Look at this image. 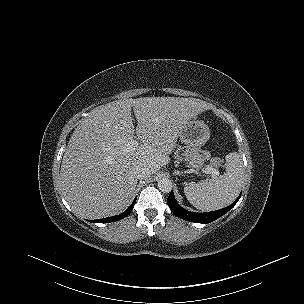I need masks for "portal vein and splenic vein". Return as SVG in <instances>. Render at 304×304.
I'll return each mask as SVG.
<instances>
[{
	"mask_svg": "<svg viewBox=\"0 0 304 304\" xmlns=\"http://www.w3.org/2000/svg\"><path fill=\"white\" fill-rule=\"evenodd\" d=\"M139 145V141L136 140V139H133L128 145L127 147L128 148H135ZM206 173L208 174H212L213 177H216L219 175V171L215 168H212V167H208L205 171Z\"/></svg>",
	"mask_w": 304,
	"mask_h": 304,
	"instance_id": "18ae733b",
	"label": "portal vein and splenic vein"
}]
</instances>
